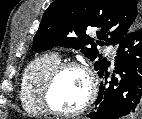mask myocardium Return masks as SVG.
<instances>
[{
	"mask_svg": "<svg viewBox=\"0 0 142 119\" xmlns=\"http://www.w3.org/2000/svg\"><path fill=\"white\" fill-rule=\"evenodd\" d=\"M70 69H76L81 71L88 82V93L84 103L73 111H61L57 109L52 101L51 94L55 83L57 82L59 76ZM97 95V81L92 72V70L85 64L77 62V61H65L60 62L45 78L41 90V102L49 114L60 116V117H74L78 116L85 111H87L94 103Z\"/></svg>",
	"mask_w": 142,
	"mask_h": 119,
	"instance_id": "obj_1",
	"label": "myocardium"
}]
</instances>
